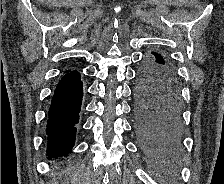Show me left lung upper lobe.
I'll use <instances>...</instances> for the list:
<instances>
[{
  "mask_svg": "<svg viewBox=\"0 0 224 184\" xmlns=\"http://www.w3.org/2000/svg\"><path fill=\"white\" fill-rule=\"evenodd\" d=\"M154 53L157 54V56H159L160 58H162V59L165 61V62H164V68H165V69H167V70H169V71H171V72L176 73L173 64L171 63V61H170L168 58L162 56L161 54H159V53H157V52H154Z\"/></svg>",
  "mask_w": 224,
  "mask_h": 184,
  "instance_id": "1",
  "label": "left lung upper lobe"
}]
</instances>
